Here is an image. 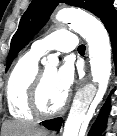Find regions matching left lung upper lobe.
<instances>
[{"label": "left lung upper lobe", "instance_id": "1", "mask_svg": "<svg viewBox=\"0 0 117 136\" xmlns=\"http://www.w3.org/2000/svg\"><path fill=\"white\" fill-rule=\"evenodd\" d=\"M59 2L84 8L99 17L103 23L117 14L112 0H33L23 14L18 30L12 38L6 70L10 67L18 52L46 24Z\"/></svg>", "mask_w": 117, "mask_h": 136}]
</instances>
